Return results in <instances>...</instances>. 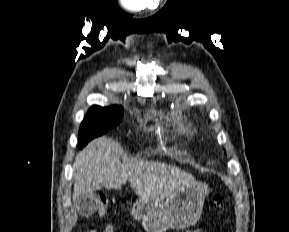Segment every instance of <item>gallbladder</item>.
I'll return each instance as SVG.
<instances>
[{"instance_id":"gallbladder-1","label":"gallbladder","mask_w":289,"mask_h":232,"mask_svg":"<svg viewBox=\"0 0 289 232\" xmlns=\"http://www.w3.org/2000/svg\"><path fill=\"white\" fill-rule=\"evenodd\" d=\"M76 205L80 215L91 216L96 212L99 203L97 196L94 194L89 197L81 196L77 200Z\"/></svg>"}]
</instances>
